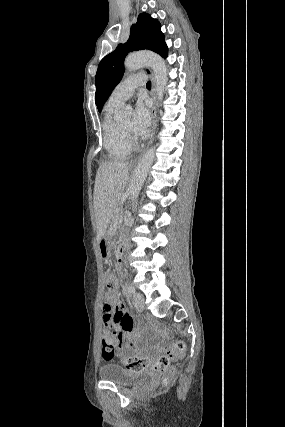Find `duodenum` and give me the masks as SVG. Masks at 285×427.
<instances>
[{
	"instance_id": "duodenum-1",
	"label": "duodenum",
	"mask_w": 285,
	"mask_h": 427,
	"mask_svg": "<svg viewBox=\"0 0 285 427\" xmlns=\"http://www.w3.org/2000/svg\"><path fill=\"white\" fill-rule=\"evenodd\" d=\"M118 259L120 260L122 257H123V255H124V249L123 248H119L118 249Z\"/></svg>"
}]
</instances>
